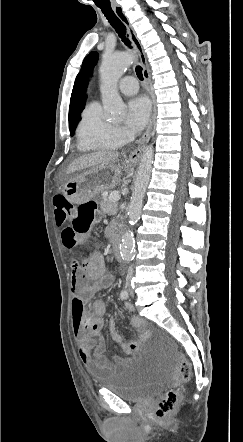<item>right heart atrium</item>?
<instances>
[{"instance_id": "1", "label": "right heart atrium", "mask_w": 243, "mask_h": 442, "mask_svg": "<svg viewBox=\"0 0 243 442\" xmlns=\"http://www.w3.org/2000/svg\"><path fill=\"white\" fill-rule=\"evenodd\" d=\"M116 133H117L120 137H123V138H126V137H127V133H126L122 128H117V129H116Z\"/></svg>"}]
</instances>
